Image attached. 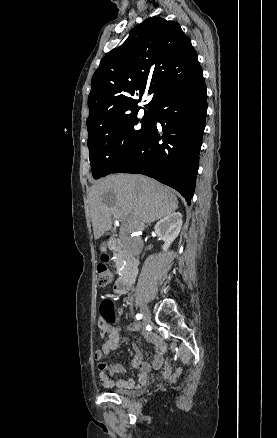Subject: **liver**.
Wrapping results in <instances>:
<instances>
[{
  "label": "liver",
  "mask_w": 277,
  "mask_h": 438,
  "mask_svg": "<svg viewBox=\"0 0 277 438\" xmlns=\"http://www.w3.org/2000/svg\"><path fill=\"white\" fill-rule=\"evenodd\" d=\"M178 208L170 188L141 174L108 176L92 186L90 214L95 240L112 228L111 214L126 232L143 230L145 224L165 218Z\"/></svg>",
  "instance_id": "liver-1"
}]
</instances>
